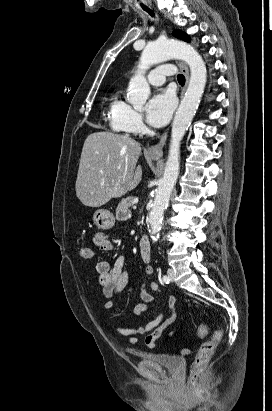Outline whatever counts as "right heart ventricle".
Masks as SVG:
<instances>
[{
  "label": "right heart ventricle",
  "instance_id": "right-heart-ventricle-1",
  "mask_svg": "<svg viewBox=\"0 0 272 411\" xmlns=\"http://www.w3.org/2000/svg\"><path fill=\"white\" fill-rule=\"evenodd\" d=\"M127 104L115 94L109 103V115L111 119V125L115 131L126 133L129 132L124 122V112Z\"/></svg>",
  "mask_w": 272,
  "mask_h": 411
}]
</instances>
